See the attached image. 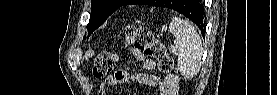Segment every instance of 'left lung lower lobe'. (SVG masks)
I'll list each match as a JSON object with an SVG mask.
<instances>
[{"instance_id":"1","label":"left lung lower lobe","mask_w":277,"mask_h":95,"mask_svg":"<svg viewBox=\"0 0 277 95\" xmlns=\"http://www.w3.org/2000/svg\"><path fill=\"white\" fill-rule=\"evenodd\" d=\"M151 2L152 0H132L128 4L150 5ZM159 2H161L160 7L176 10L188 17L199 27L202 34H204L205 14L201 0H176L175 2H172V0H159ZM169 3H171V5H169Z\"/></svg>"}]
</instances>
